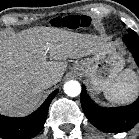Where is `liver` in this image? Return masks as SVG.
I'll return each mask as SVG.
<instances>
[{
    "mask_svg": "<svg viewBox=\"0 0 139 139\" xmlns=\"http://www.w3.org/2000/svg\"><path fill=\"white\" fill-rule=\"evenodd\" d=\"M98 38L52 27H36L25 34L0 35V112L25 113L40 101L45 76L58 83L65 61L94 55ZM50 57L56 61H47Z\"/></svg>",
    "mask_w": 139,
    "mask_h": 139,
    "instance_id": "1",
    "label": "liver"
}]
</instances>
